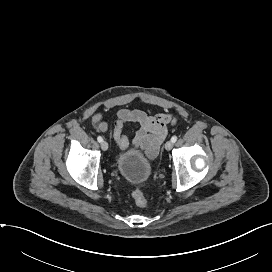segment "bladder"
I'll use <instances>...</instances> for the list:
<instances>
[{
	"label": "bladder",
	"instance_id": "obj_1",
	"mask_svg": "<svg viewBox=\"0 0 272 272\" xmlns=\"http://www.w3.org/2000/svg\"><path fill=\"white\" fill-rule=\"evenodd\" d=\"M116 168L123 178L131 183H143L152 173V163L140 151L128 149L116 159Z\"/></svg>",
	"mask_w": 272,
	"mask_h": 272
}]
</instances>
